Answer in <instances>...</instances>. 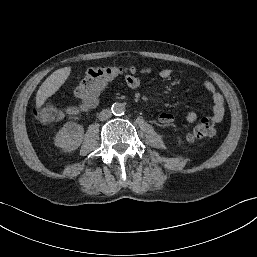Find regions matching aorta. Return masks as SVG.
<instances>
[{"label": "aorta", "instance_id": "obj_1", "mask_svg": "<svg viewBox=\"0 0 257 257\" xmlns=\"http://www.w3.org/2000/svg\"><path fill=\"white\" fill-rule=\"evenodd\" d=\"M111 110L114 115H123L125 112V105L123 103L116 102L112 105Z\"/></svg>", "mask_w": 257, "mask_h": 257}]
</instances>
